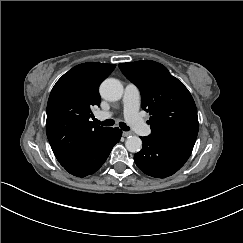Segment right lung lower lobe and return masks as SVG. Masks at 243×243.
Returning <instances> with one entry per match:
<instances>
[{"mask_svg":"<svg viewBox=\"0 0 243 243\" xmlns=\"http://www.w3.org/2000/svg\"><path fill=\"white\" fill-rule=\"evenodd\" d=\"M122 131L118 128H108L81 155L63 166L70 174L85 177L95 173L106 161L112 148L119 142Z\"/></svg>","mask_w":243,"mask_h":243,"instance_id":"obj_1","label":"right lung lower lobe"}]
</instances>
